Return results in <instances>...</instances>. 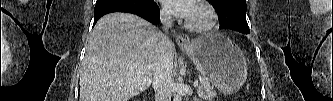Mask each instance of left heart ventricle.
<instances>
[{"label": "left heart ventricle", "instance_id": "b2bd125f", "mask_svg": "<svg viewBox=\"0 0 333 101\" xmlns=\"http://www.w3.org/2000/svg\"><path fill=\"white\" fill-rule=\"evenodd\" d=\"M187 18L191 22L196 23V24H203L208 19L206 12L198 6L193 7L190 15Z\"/></svg>", "mask_w": 333, "mask_h": 101}]
</instances>
